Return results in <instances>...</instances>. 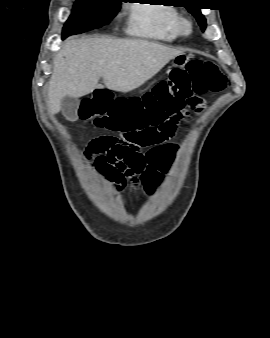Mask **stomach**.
I'll return each mask as SVG.
<instances>
[{"mask_svg":"<svg viewBox=\"0 0 270 338\" xmlns=\"http://www.w3.org/2000/svg\"><path fill=\"white\" fill-rule=\"evenodd\" d=\"M189 59V55L181 53L173 58L172 65L175 67H184Z\"/></svg>","mask_w":270,"mask_h":338,"instance_id":"obj_1","label":"stomach"}]
</instances>
